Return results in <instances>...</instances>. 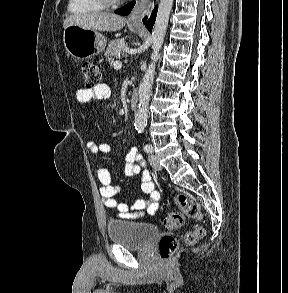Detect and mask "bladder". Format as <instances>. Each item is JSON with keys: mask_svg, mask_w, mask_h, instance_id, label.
I'll use <instances>...</instances> for the list:
<instances>
[{"mask_svg": "<svg viewBox=\"0 0 288 293\" xmlns=\"http://www.w3.org/2000/svg\"><path fill=\"white\" fill-rule=\"evenodd\" d=\"M108 238L128 249H145L158 236V229L149 223L110 220L106 225Z\"/></svg>", "mask_w": 288, "mask_h": 293, "instance_id": "bladder-1", "label": "bladder"}]
</instances>
